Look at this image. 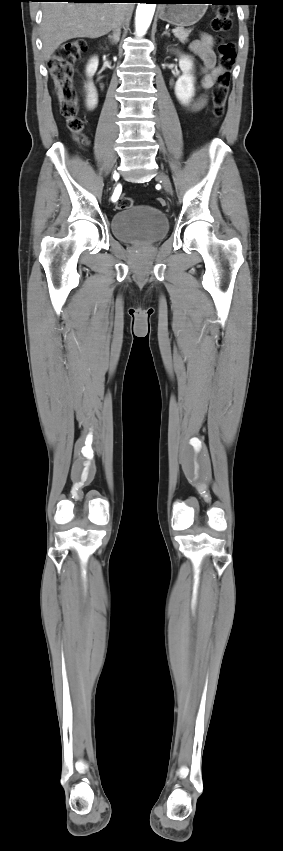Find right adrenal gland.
I'll list each match as a JSON object with an SVG mask.
<instances>
[{
  "instance_id": "2a0ac1e0",
  "label": "right adrenal gland",
  "mask_w": 283,
  "mask_h": 851,
  "mask_svg": "<svg viewBox=\"0 0 283 851\" xmlns=\"http://www.w3.org/2000/svg\"><path fill=\"white\" fill-rule=\"evenodd\" d=\"M108 39L110 40V42H111V44H112V45L117 44V43L119 42V39H120V32L118 33V35H117V36H115V35H108Z\"/></svg>"
}]
</instances>
